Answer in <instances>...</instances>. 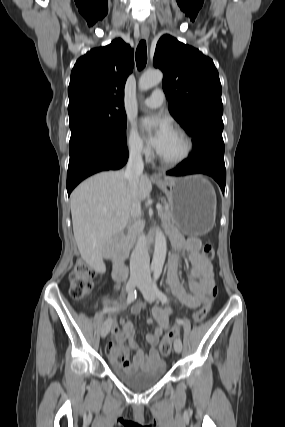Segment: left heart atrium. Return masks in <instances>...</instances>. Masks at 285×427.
<instances>
[{
	"label": "left heart atrium",
	"instance_id": "obj_1",
	"mask_svg": "<svg viewBox=\"0 0 285 427\" xmlns=\"http://www.w3.org/2000/svg\"><path fill=\"white\" fill-rule=\"evenodd\" d=\"M141 126L146 132L150 133L148 140L156 151L161 148L168 135L172 132L169 122L157 117L144 118L141 121Z\"/></svg>",
	"mask_w": 285,
	"mask_h": 427
}]
</instances>
